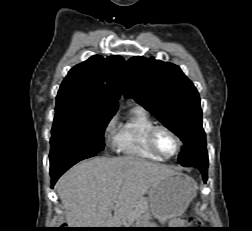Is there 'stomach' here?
Here are the masks:
<instances>
[{"label":"stomach","mask_w":252,"mask_h":231,"mask_svg":"<svg viewBox=\"0 0 252 231\" xmlns=\"http://www.w3.org/2000/svg\"><path fill=\"white\" fill-rule=\"evenodd\" d=\"M196 192L197 184L191 177L182 173L166 176L151 187L148 196L149 210L161 223L167 222L172 226L184 213L196 196ZM136 226L132 228H145L142 227L141 219L138 220Z\"/></svg>","instance_id":"stomach-1"}]
</instances>
